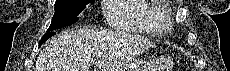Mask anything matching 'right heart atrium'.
<instances>
[{
  "label": "right heart atrium",
  "instance_id": "right-heart-atrium-1",
  "mask_svg": "<svg viewBox=\"0 0 230 71\" xmlns=\"http://www.w3.org/2000/svg\"><path fill=\"white\" fill-rule=\"evenodd\" d=\"M113 2V0H108L107 3H111ZM106 15H107V11H106Z\"/></svg>",
  "mask_w": 230,
  "mask_h": 71
}]
</instances>
